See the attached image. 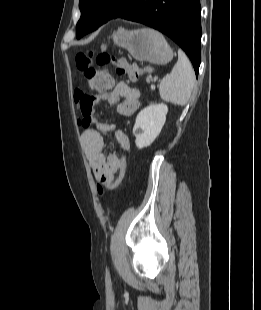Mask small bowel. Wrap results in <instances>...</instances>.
<instances>
[{"label": "small bowel", "instance_id": "1", "mask_svg": "<svg viewBox=\"0 0 261 310\" xmlns=\"http://www.w3.org/2000/svg\"><path fill=\"white\" fill-rule=\"evenodd\" d=\"M74 99L81 115L80 123L86 128L82 134V143L94 176L100 183H110L119 173L122 161L119 152L109 155L104 153L105 138L113 140L118 148L124 150L129 148V140L121 130H116L112 135L115 126L98 122L94 118V108L100 103H107L117 106L121 115L131 116L140 107V91L126 82L119 81L113 84L110 91L98 95H88L76 90ZM91 125L96 129L90 128Z\"/></svg>", "mask_w": 261, "mask_h": 310}]
</instances>
